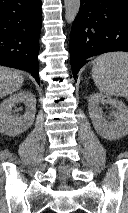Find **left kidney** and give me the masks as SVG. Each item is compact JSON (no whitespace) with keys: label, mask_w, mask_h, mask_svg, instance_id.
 Segmentation results:
<instances>
[{"label":"left kidney","mask_w":128,"mask_h":213,"mask_svg":"<svg viewBox=\"0 0 128 213\" xmlns=\"http://www.w3.org/2000/svg\"><path fill=\"white\" fill-rule=\"evenodd\" d=\"M108 104L113 109V121L105 119L99 104ZM88 111L97 134L107 140H116L128 134V107L118 100L100 93H93L88 98Z\"/></svg>","instance_id":"obj_1"}]
</instances>
